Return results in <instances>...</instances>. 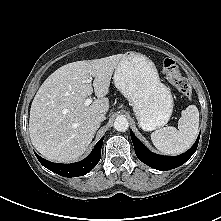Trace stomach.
<instances>
[{"mask_svg": "<svg viewBox=\"0 0 221 221\" xmlns=\"http://www.w3.org/2000/svg\"><path fill=\"white\" fill-rule=\"evenodd\" d=\"M113 80L131 103L143 130H156L168 123L173 97L170 89L161 83L156 66L148 57L126 52L115 68Z\"/></svg>", "mask_w": 221, "mask_h": 221, "instance_id": "stomach-1", "label": "stomach"}]
</instances>
